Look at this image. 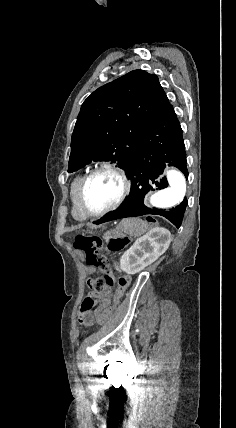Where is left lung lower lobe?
I'll use <instances>...</instances> for the list:
<instances>
[{
  "label": "left lung lower lobe",
  "instance_id": "0a47b994",
  "mask_svg": "<svg viewBox=\"0 0 236 428\" xmlns=\"http://www.w3.org/2000/svg\"><path fill=\"white\" fill-rule=\"evenodd\" d=\"M165 163L177 167L188 178L182 129L172 105L144 131L125 169L131 179V190L126 201L94 224L126 217L158 214L166 217L177 228L180 227L187 206L186 198L180 205L167 211L151 209L143 204L144 196L149 191L168 186L167 179L162 176Z\"/></svg>",
  "mask_w": 236,
  "mask_h": 428
}]
</instances>
